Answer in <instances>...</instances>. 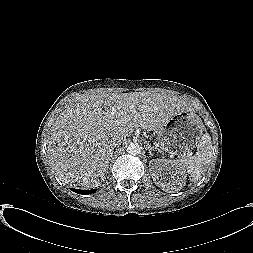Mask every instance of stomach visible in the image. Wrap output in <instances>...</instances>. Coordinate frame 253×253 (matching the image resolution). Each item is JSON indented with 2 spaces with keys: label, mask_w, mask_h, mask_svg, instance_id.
<instances>
[{
  "label": "stomach",
  "mask_w": 253,
  "mask_h": 253,
  "mask_svg": "<svg viewBox=\"0 0 253 253\" xmlns=\"http://www.w3.org/2000/svg\"><path fill=\"white\" fill-rule=\"evenodd\" d=\"M203 130L200 117L193 112L182 111L158 130L157 138L164 151L183 157L198 147Z\"/></svg>",
  "instance_id": "1"
}]
</instances>
